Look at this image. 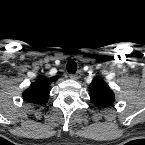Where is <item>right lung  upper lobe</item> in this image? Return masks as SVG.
<instances>
[{
    "label": "right lung upper lobe",
    "instance_id": "cb5924a9",
    "mask_svg": "<svg viewBox=\"0 0 145 145\" xmlns=\"http://www.w3.org/2000/svg\"><path fill=\"white\" fill-rule=\"evenodd\" d=\"M56 77L47 78L45 76L39 78L23 93V98L31 103L44 104L48 101L49 97V85L56 81Z\"/></svg>",
    "mask_w": 145,
    "mask_h": 145
}]
</instances>
